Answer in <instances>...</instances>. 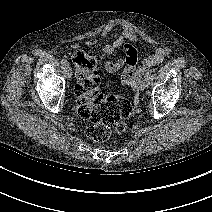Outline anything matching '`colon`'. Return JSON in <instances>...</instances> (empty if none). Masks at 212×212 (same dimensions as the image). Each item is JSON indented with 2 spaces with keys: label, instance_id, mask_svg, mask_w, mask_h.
I'll use <instances>...</instances> for the list:
<instances>
[{
  "label": "colon",
  "instance_id": "obj_1",
  "mask_svg": "<svg viewBox=\"0 0 212 212\" xmlns=\"http://www.w3.org/2000/svg\"><path fill=\"white\" fill-rule=\"evenodd\" d=\"M78 93V113L90 121L86 135L97 142H104L114 134H122L132 112L131 103L119 95H104L99 88L97 60L82 51L73 55ZM122 82L131 85L124 76Z\"/></svg>",
  "mask_w": 212,
  "mask_h": 212
}]
</instances>
